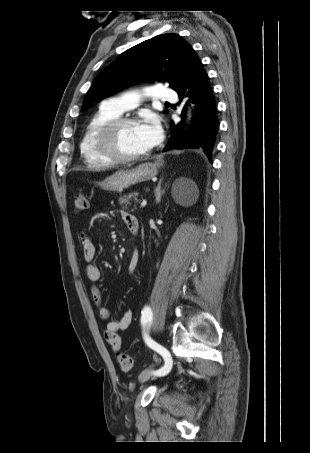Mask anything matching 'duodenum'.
<instances>
[{"label":"duodenum","instance_id":"1","mask_svg":"<svg viewBox=\"0 0 310 453\" xmlns=\"http://www.w3.org/2000/svg\"><path fill=\"white\" fill-rule=\"evenodd\" d=\"M130 231L132 233H136L138 231V227H133V228L130 229Z\"/></svg>","mask_w":310,"mask_h":453}]
</instances>
